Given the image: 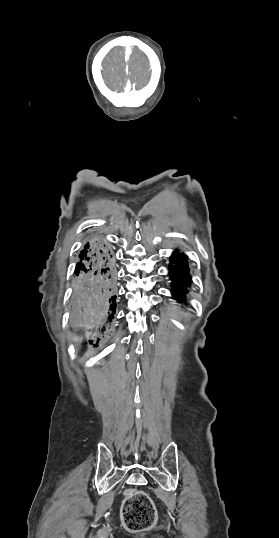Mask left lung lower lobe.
<instances>
[{
    "mask_svg": "<svg viewBox=\"0 0 279 538\" xmlns=\"http://www.w3.org/2000/svg\"><path fill=\"white\" fill-rule=\"evenodd\" d=\"M169 265V274L172 280V294L178 301L184 299L187 287L190 284L189 268L187 266V258L183 254L180 255L174 252Z\"/></svg>",
    "mask_w": 279,
    "mask_h": 538,
    "instance_id": "left-lung-lower-lobe-1",
    "label": "left lung lower lobe"
}]
</instances>
